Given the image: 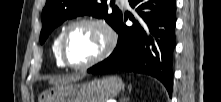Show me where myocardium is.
I'll return each mask as SVG.
<instances>
[{
  "mask_svg": "<svg viewBox=\"0 0 221 102\" xmlns=\"http://www.w3.org/2000/svg\"><path fill=\"white\" fill-rule=\"evenodd\" d=\"M82 24L90 25L99 29L104 37V44H103L101 51L93 59L81 65H74V64H71L67 60V57L65 54V45H66V40H67L69 32L75 26L82 25ZM116 42H117L116 33L114 29L112 28V26L105 19L99 18V17H93V16L79 17L71 21L64 28V31L60 40V45H59L60 58H61L63 65L66 67H69L74 70H86L102 62L103 60H105L115 48Z\"/></svg>",
  "mask_w": 221,
  "mask_h": 102,
  "instance_id": "obj_1",
  "label": "myocardium"
}]
</instances>
